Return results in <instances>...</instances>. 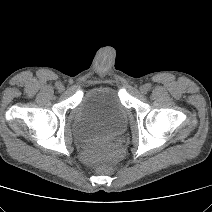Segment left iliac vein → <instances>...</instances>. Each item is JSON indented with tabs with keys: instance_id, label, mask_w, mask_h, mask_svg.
<instances>
[{
	"instance_id": "obj_1",
	"label": "left iliac vein",
	"mask_w": 212,
	"mask_h": 212,
	"mask_svg": "<svg viewBox=\"0 0 212 212\" xmlns=\"http://www.w3.org/2000/svg\"><path fill=\"white\" fill-rule=\"evenodd\" d=\"M147 91H148L147 86L143 85V86L140 87V92H141L142 94H145Z\"/></svg>"
}]
</instances>
